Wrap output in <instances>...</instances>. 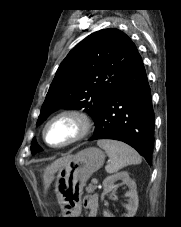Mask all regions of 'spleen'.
Wrapping results in <instances>:
<instances>
[{
	"label": "spleen",
	"mask_w": 181,
	"mask_h": 227,
	"mask_svg": "<svg viewBox=\"0 0 181 227\" xmlns=\"http://www.w3.org/2000/svg\"><path fill=\"white\" fill-rule=\"evenodd\" d=\"M97 145L103 148L110 158V163L105 167L107 173H115L131 164H140L141 156L127 144L110 139H102Z\"/></svg>",
	"instance_id": "spleen-1"
}]
</instances>
